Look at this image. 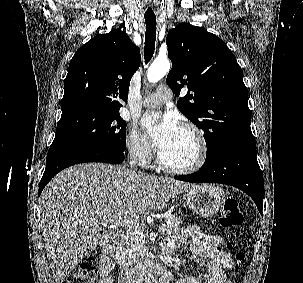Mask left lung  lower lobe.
Listing matches in <instances>:
<instances>
[{
  "label": "left lung lower lobe",
  "instance_id": "0a47b994",
  "mask_svg": "<svg viewBox=\"0 0 303 283\" xmlns=\"http://www.w3.org/2000/svg\"><path fill=\"white\" fill-rule=\"evenodd\" d=\"M175 179L192 183L228 184L246 192L262 214L264 183L256 158L255 140L233 142L206 159L199 171Z\"/></svg>",
  "mask_w": 303,
  "mask_h": 283
}]
</instances>
